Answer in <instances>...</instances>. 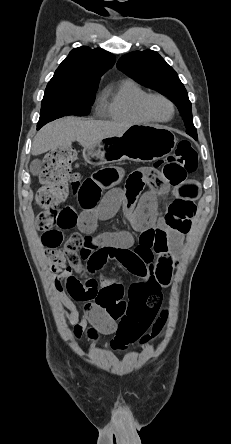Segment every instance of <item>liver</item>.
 Instances as JSON below:
<instances>
[{"mask_svg":"<svg viewBox=\"0 0 231 444\" xmlns=\"http://www.w3.org/2000/svg\"><path fill=\"white\" fill-rule=\"evenodd\" d=\"M131 125L109 121L82 120L69 116L45 125L35 136L32 154L70 148L77 141L84 148L110 136L124 133Z\"/></svg>","mask_w":231,"mask_h":444,"instance_id":"obj_1","label":"liver"}]
</instances>
